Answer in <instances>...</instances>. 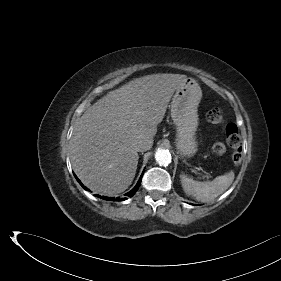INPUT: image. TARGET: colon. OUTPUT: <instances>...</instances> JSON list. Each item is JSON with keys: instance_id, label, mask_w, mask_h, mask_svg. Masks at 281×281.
<instances>
[{"instance_id": "5ec220e1", "label": "colon", "mask_w": 281, "mask_h": 281, "mask_svg": "<svg viewBox=\"0 0 281 281\" xmlns=\"http://www.w3.org/2000/svg\"><path fill=\"white\" fill-rule=\"evenodd\" d=\"M207 119L215 125L225 124L226 144L233 149V162L238 165L241 161L240 145L241 138L237 126L234 123H227L225 116L220 108H213L207 113ZM226 150L223 143H216L212 146V153L215 156L222 155Z\"/></svg>"}]
</instances>
